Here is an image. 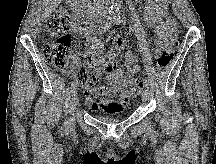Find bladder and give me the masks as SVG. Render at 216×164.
Listing matches in <instances>:
<instances>
[{
    "label": "bladder",
    "mask_w": 216,
    "mask_h": 164,
    "mask_svg": "<svg viewBox=\"0 0 216 164\" xmlns=\"http://www.w3.org/2000/svg\"><path fill=\"white\" fill-rule=\"evenodd\" d=\"M101 120L104 122H117L119 118L116 117H101Z\"/></svg>",
    "instance_id": "31cf9c89"
}]
</instances>
